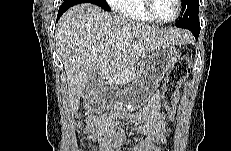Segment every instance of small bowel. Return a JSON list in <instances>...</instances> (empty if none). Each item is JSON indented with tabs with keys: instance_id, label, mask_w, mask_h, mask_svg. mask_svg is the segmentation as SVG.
I'll return each mask as SVG.
<instances>
[{
	"instance_id": "c3829d8e",
	"label": "small bowel",
	"mask_w": 231,
	"mask_h": 151,
	"mask_svg": "<svg viewBox=\"0 0 231 151\" xmlns=\"http://www.w3.org/2000/svg\"><path fill=\"white\" fill-rule=\"evenodd\" d=\"M140 139L132 146L126 142L118 115H91L86 120L85 132L99 151H160L158 144H165L166 121L160 112V95L156 93L139 113L131 115Z\"/></svg>"
}]
</instances>
